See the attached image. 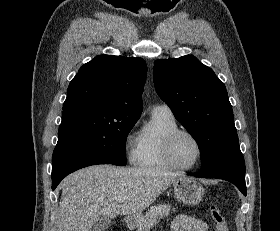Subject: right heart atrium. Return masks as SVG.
I'll return each instance as SVG.
<instances>
[{
	"label": "right heart atrium",
	"mask_w": 280,
	"mask_h": 231,
	"mask_svg": "<svg viewBox=\"0 0 280 231\" xmlns=\"http://www.w3.org/2000/svg\"><path fill=\"white\" fill-rule=\"evenodd\" d=\"M140 143L139 136H136L133 130H129L124 136V149L126 157L130 162L137 161L138 147Z\"/></svg>",
	"instance_id": "d8ad5b80"
}]
</instances>
